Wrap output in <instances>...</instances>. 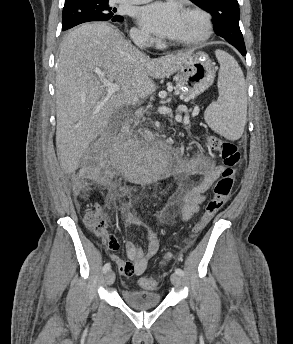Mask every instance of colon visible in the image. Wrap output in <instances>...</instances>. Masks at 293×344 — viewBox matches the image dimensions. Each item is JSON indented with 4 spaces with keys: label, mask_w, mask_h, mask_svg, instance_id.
<instances>
[{
    "label": "colon",
    "mask_w": 293,
    "mask_h": 344,
    "mask_svg": "<svg viewBox=\"0 0 293 344\" xmlns=\"http://www.w3.org/2000/svg\"><path fill=\"white\" fill-rule=\"evenodd\" d=\"M209 146L216 151L223 160L224 169L220 178L217 180L214 187V195L206 204L202 217L193 227L192 234L184 241V248L193 245L195 238L200 234L214 217V215L224 206L230 198L235 178L237 167L241 160V155L237 145L228 140L221 139L217 136H210L208 138ZM84 178L81 177L77 181L76 196L78 201L83 204L85 202ZM85 219L87 224L91 227L95 234H102L105 228L104 222L101 219V214L98 210L87 209L85 212ZM171 255H167L165 260H169ZM164 262H162L163 264ZM140 285L146 289H155L158 286V281L155 277H143L140 279Z\"/></svg>",
    "instance_id": "5ec220e1"
}]
</instances>
